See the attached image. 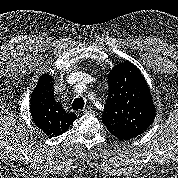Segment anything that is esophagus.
<instances>
[{"label": "esophagus", "mask_w": 178, "mask_h": 178, "mask_svg": "<svg viewBox=\"0 0 178 178\" xmlns=\"http://www.w3.org/2000/svg\"><path fill=\"white\" fill-rule=\"evenodd\" d=\"M90 110H91V109L87 107V108H85V109L78 110V111L76 112V114H77L78 116H81V115H83V114L89 112Z\"/></svg>", "instance_id": "obj_1"}]
</instances>
